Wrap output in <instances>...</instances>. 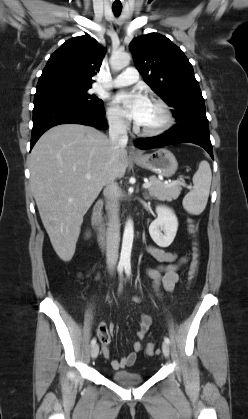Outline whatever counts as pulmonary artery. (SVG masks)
Returning a JSON list of instances; mask_svg holds the SVG:
<instances>
[{
	"mask_svg": "<svg viewBox=\"0 0 248 419\" xmlns=\"http://www.w3.org/2000/svg\"><path fill=\"white\" fill-rule=\"evenodd\" d=\"M139 79L138 71L133 67H128L123 71L121 74H119L117 77H115L112 82V87H123L127 85H131L135 82H137Z\"/></svg>",
	"mask_w": 248,
	"mask_h": 419,
	"instance_id": "pulmonary-artery-1",
	"label": "pulmonary artery"
}]
</instances>
